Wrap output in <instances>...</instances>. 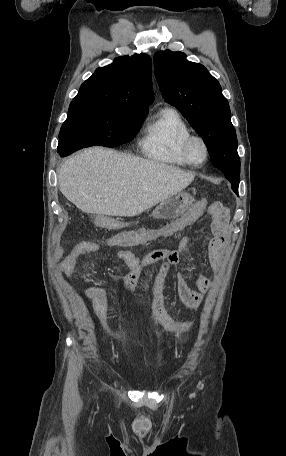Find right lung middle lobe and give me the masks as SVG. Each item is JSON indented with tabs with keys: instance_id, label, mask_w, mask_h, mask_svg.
<instances>
[{
	"instance_id": "dd1d6c3e",
	"label": "right lung middle lobe",
	"mask_w": 286,
	"mask_h": 456,
	"mask_svg": "<svg viewBox=\"0 0 286 456\" xmlns=\"http://www.w3.org/2000/svg\"><path fill=\"white\" fill-rule=\"evenodd\" d=\"M146 115L147 112L107 105L71 102L59 133L57 150L64 157L84 147L122 145L134 138Z\"/></svg>"
}]
</instances>
